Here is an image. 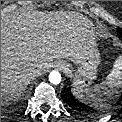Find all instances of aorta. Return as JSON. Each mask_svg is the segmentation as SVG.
Instances as JSON below:
<instances>
[{
  "instance_id": "aorta-1",
  "label": "aorta",
  "mask_w": 122,
  "mask_h": 122,
  "mask_svg": "<svg viewBox=\"0 0 122 122\" xmlns=\"http://www.w3.org/2000/svg\"><path fill=\"white\" fill-rule=\"evenodd\" d=\"M49 81L50 83L57 85L61 82V75L58 71H52L49 74Z\"/></svg>"
}]
</instances>
